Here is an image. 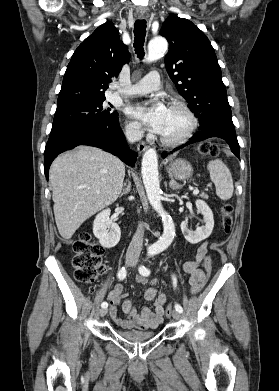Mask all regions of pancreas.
Returning <instances> with one entry per match:
<instances>
[{"label": "pancreas", "instance_id": "1", "mask_svg": "<svg viewBox=\"0 0 279 391\" xmlns=\"http://www.w3.org/2000/svg\"><path fill=\"white\" fill-rule=\"evenodd\" d=\"M199 196L202 197V198L208 199V195L206 193H204V192L201 193Z\"/></svg>", "mask_w": 279, "mask_h": 391}]
</instances>
